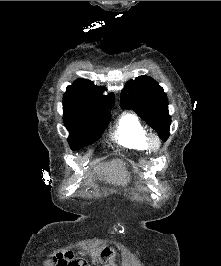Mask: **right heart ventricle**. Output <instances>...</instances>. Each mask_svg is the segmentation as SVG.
Returning a JSON list of instances; mask_svg holds the SVG:
<instances>
[{
	"instance_id": "e07e8e85",
	"label": "right heart ventricle",
	"mask_w": 221,
	"mask_h": 266,
	"mask_svg": "<svg viewBox=\"0 0 221 266\" xmlns=\"http://www.w3.org/2000/svg\"><path fill=\"white\" fill-rule=\"evenodd\" d=\"M114 140L121 146L138 151H148V134L139 118L132 113H124L116 126Z\"/></svg>"
}]
</instances>
